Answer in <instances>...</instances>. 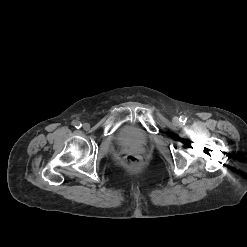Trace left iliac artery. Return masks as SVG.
Masks as SVG:
<instances>
[{
	"mask_svg": "<svg viewBox=\"0 0 247 247\" xmlns=\"http://www.w3.org/2000/svg\"><path fill=\"white\" fill-rule=\"evenodd\" d=\"M180 121H181V122H186V121H187L186 116H181V117H180Z\"/></svg>",
	"mask_w": 247,
	"mask_h": 247,
	"instance_id": "44dca946",
	"label": "left iliac artery"
}]
</instances>
